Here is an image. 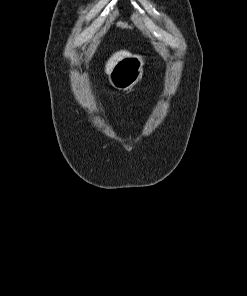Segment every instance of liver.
Listing matches in <instances>:
<instances>
[{
  "label": "liver",
  "mask_w": 247,
  "mask_h": 296,
  "mask_svg": "<svg viewBox=\"0 0 247 296\" xmlns=\"http://www.w3.org/2000/svg\"><path fill=\"white\" fill-rule=\"evenodd\" d=\"M130 53L128 51L125 50H121L118 51L116 53H114L109 60L107 61L106 65H105V71L106 73H109L111 71V69L113 68V66L121 59H123L126 56H129Z\"/></svg>",
  "instance_id": "6515ba94"
}]
</instances>
